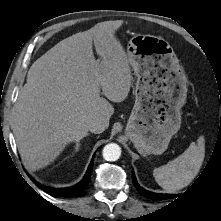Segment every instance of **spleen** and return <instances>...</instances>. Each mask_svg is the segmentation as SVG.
Wrapping results in <instances>:
<instances>
[{
    "label": "spleen",
    "instance_id": "1",
    "mask_svg": "<svg viewBox=\"0 0 221 221\" xmlns=\"http://www.w3.org/2000/svg\"><path fill=\"white\" fill-rule=\"evenodd\" d=\"M205 157V139L200 136L177 158L166 165L155 168L156 182L169 193L188 186L200 171Z\"/></svg>",
    "mask_w": 221,
    "mask_h": 221
}]
</instances>
